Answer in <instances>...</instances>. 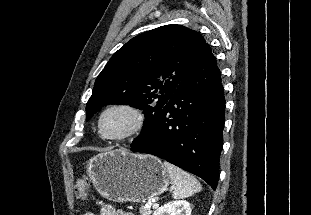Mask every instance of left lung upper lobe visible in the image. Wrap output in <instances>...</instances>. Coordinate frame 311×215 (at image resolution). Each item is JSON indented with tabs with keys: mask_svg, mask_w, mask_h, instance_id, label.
Wrapping results in <instances>:
<instances>
[{
	"mask_svg": "<svg viewBox=\"0 0 311 215\" xmlns=\"http://www.w3.org/2000/svg\"><path fill=\"white\" fill-rule=\"evenodd\" d=\"M205 44L202 35L181 25H165L129 40L98 75L87 102V119L108 104L144 110L138 142L149 130Z\"/></svg>",
	"mask_w": 311,
	"mask_h": 215,
	"instance_id": "left-lung-upper-lobe-1",
	"label": "left lung upper lobe"
}]
</instances>
